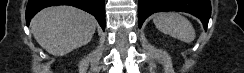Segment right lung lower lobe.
I'll use <instances>...</instances> for the list:
<instances>
[{
    "instance_id": "98d812e1",
    "label": "right lung lower lobe",
    "mask_w": 244,
    "mask_h": 73,
    "mask_svg": "<svg viewBox=\"0 0 244 73\" xmlns=\"http://www.w3.org/2000/svg\"><path fill=\"white\" fill-rule=\"evenodd\" d=\"M55 5H71L91 13L105 30L104 0H29L26 8V24L29 25L33 16L41 9Z\"/></svg>"
}]
</instances>
